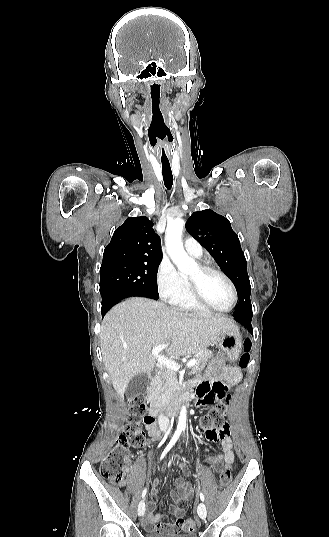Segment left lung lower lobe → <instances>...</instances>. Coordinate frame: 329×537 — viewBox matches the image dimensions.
I'll use <instances>...</instances> for the list:
<instances>
[{
  "label": "left lung lower lobe",
  "instance_id": "1",
  "mask_svg": "<svg viewBox=\"0 0 329 537\" xmlns=\"http://www.w3.org/2000/svg\"><path fill=\"white\" fill-rule=\"evenodd\" d=\"M234 318L243 324L251 333H253L251 325L252 313L235 315Z\"/></svg>",
  "mask_w": 329,
  "mask_h": 537
}]
</instances>
